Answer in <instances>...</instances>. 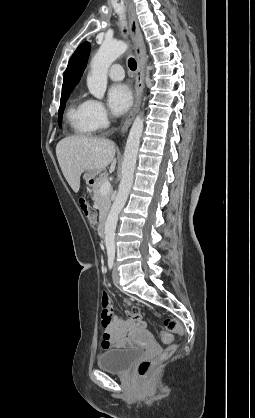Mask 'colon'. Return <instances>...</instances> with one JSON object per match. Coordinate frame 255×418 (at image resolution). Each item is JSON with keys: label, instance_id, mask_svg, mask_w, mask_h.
<instances>
[{"label": "colon", "instance_id": "5ec220e1", "mask_svg": "<svg viewBox=\"0 0 255 418\" xmlns=\"http://www.w3.org/2000/svg\"><path fill=\"white\" fill-rule=\"evenodd\" d=\"M79 207L84 214L85 218L89 222V224L94 225L95 223V212L91 208L88 201L81 197L78 200ZM165 330L162 334V338L165 342L170 343L172 341V335L178 334L179 336H183L185 331L180 323L174 318H167L164 321ZM178 349V344H170L163 352H161L158 356L150 359H143L140 361L137 367V373L141 378L147 377L154 368L162 361L171 357L176 350Z\"/></svg>", "mask_w": 255, "mask_h": 418}]
</instances>
